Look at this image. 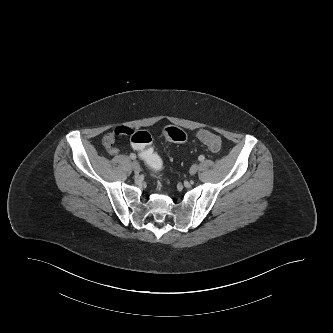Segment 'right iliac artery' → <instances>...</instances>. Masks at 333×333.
<instances>
[{
    "instance_id": "right-iliac-artery-1",
    "label": "right iliac artery",
    "mask_w": 333,
    "mask_h": 333,
    "mask_svg": "<svg viewBox=\"0 0 333 333\" xmlns=\"http://www.w3.org/2000/svg\"><path fill=\"white\" fill-rule=\"evenodd\" d=\"M130 158H131L132 160H134V159H136V155H135L134 153H131V154H130Z\"/></svg>"
}]
</instances>
